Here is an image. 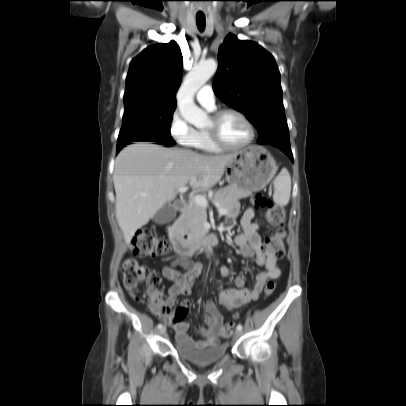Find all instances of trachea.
Returning a JSON list of instances; mask_svg holds the SVG:
<instances>
[{
    "instance_id": "3493384b",
    "label": "trachea",
    "mask_w": 406,
    "mask_h": 406,
    "mask_svg": "<svg viewBox=\"0 0 406 406\" xmlns=\"http://www.w3.org/2000/svg\"><path fill=\"white\" fill-rule=\"evenodd\" d=\"M197 27L200 31H203L205 28L206 20L205 18H196Z\"/></svg>"
}]
</instances>
